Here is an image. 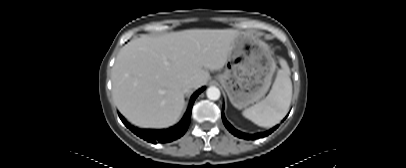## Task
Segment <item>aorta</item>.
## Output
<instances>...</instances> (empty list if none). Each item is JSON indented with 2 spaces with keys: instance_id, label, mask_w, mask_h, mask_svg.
<instances>
[{
  "instance_id": "762f6f07",
  "label": "aorta",
  "mask_w": 406,
  "mask_h": 168,
  "mask_svg": "<svg viewBox=\"0 0 406 168\" xmlns=\"http://www.w3.org/2000/svg\"><path fill=\"white\" fill-rule=\"evenodd\" d=\"M206 95L210 100L215 101V100H218L220 98L221 93H220V90L217 87L212 86V87H209L207 89Z\"/></svg>"
}]
</instances>
